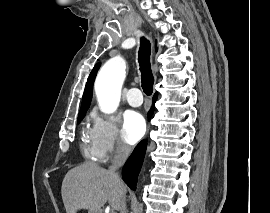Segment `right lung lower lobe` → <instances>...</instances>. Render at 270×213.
Instances as JSON below:
<instances>
[{
    "mask_svg": "<svg viewBox=\"0 0 270 213\" xmlns=\"http://www.w3.org/2000/svg\"><path fill=\"white\" fill-rule=\"evenodd\" d=\"M157 100V93L153 97V106ZM154 107L149 112V117H151L153 113ZM147 143L145 140L141 141L138 146L135 148L127 162L125 163L122 176L124 182L133 190L136 189L137 177L140 172L143 159L145 156Z\"/></svg>",
    "mask_w": 270,
    "mask_h": 213,
    "instance_id": "right-lung-lower-lobe-1",
    "label": "right lung lower lobe"
}]
</instances>
